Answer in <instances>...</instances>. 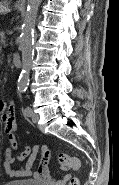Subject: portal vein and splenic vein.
<instances>
[{
    "label": "portal vein and splenic vein",
    "mask_w": 119,
    "mask_h": 185,
    "mask_svg": "<svg viewBox=\"0 0 119 185\" xmlns=\"http://www.w3.org/2000/svg\"><path fill=\"white\" fill-rule=\"evenodd\" d=\"M8 34L11 35V34H12V31L10 30V31L8 32Z\"/></svg>",
    "instance_id": "obj_1"
}]
</instances>
